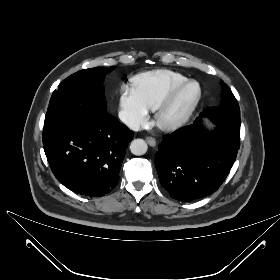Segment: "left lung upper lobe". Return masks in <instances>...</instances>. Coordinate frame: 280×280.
Instances as JSON below:
<instances>
[{"mask_svg": "<svg viewBox=\"0 0 280 280\" xmlns=\"http://www.w3.org/2000/svg\"><path fill=\"white\" fill-rule=\"evenodd\" d=\"M222 103L220 106L204 110L218 126L228 130L230 133L240 138V108L238 102L228 86L221 81Z\"/></svg>", "mask_w": 280, "mask_h": 280, "instance_id": "left-lung-upper-lobe-1", "label": "left lung upper lobe"}]
</instances>
